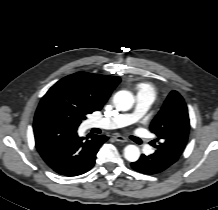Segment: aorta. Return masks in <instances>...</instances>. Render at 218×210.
Instances as JSON below:
<instances>
[{"label": "aorta", "mask_w": 218, "mask_h": 210, "mask_svg": "<svg viewBox=\"0 0 218 210\" xmlns=\"http://www.w3.org/2000/svg\"><path fill=\"white\" fill-rule=\"evenodd\" d=\"M113 103L118 110L128 111L134 104V97L131 92L118 91L113 97ZM124 157L129 162H135L140 157V150L136 145H127L124 148Z\"/></svg>", "instance_id": "obj_1"}]
</instances>
